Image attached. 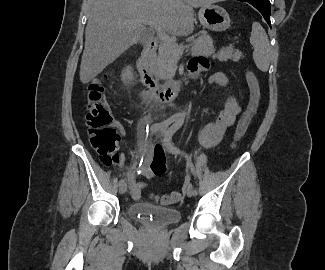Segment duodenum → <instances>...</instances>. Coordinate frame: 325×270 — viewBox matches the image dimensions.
Instances as JSON below:
<instances>
[{"label":"duodenum","mask_w":325,"mask_h":270,"mask_svg":"<svg viewBox=\"0 0 325 270\" xmlns=\"http://www.w3.org/2000/svg\"><path fill=\"white\" fill-rule=\"evenodd\" d=\"M157 46L158 42L156 40L150 41L145 45L141 57L137 62V68L148 97L159 103L167 104L177 97L183 84V79H175L165 85H159L157 83L153 70V61Z\"/></svg>","instance_id":"duodenum-1"}]
</instances>
